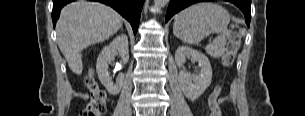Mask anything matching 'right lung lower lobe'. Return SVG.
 Masks as SVG:
<instances>
[{
	"label": "right lung lower lobe",
	"instance_id": "1",
	"mask_svg": "<svg viewBox=\"0 0 305 116\" xmlns=\"http://www.w3.org/2000/svg\"><path fill=\"white\" fill-rule=\"evenodd\" d=\"M74 0H53L52 20L53 25L59 18L60 11L66 4ZM107 4L118 11L124 18H126L132 25L134 33L138 30L140 13L144 0H93Z\"/></svg>",
	"mask_w": 305,
	"mask_h": 116
}]
</instances>
